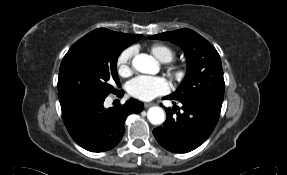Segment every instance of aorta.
I'll return each mask as SVG.
<instances>
[{
  "mask_svg": "<svg viewBox=\"0 0 287 175\" xmlns=\"http://www.w3.org/2000/svg\"><path fill=\"white\" fill-rule=\"evenodd\" d=\"M132 65L140 73L156 74L158 72L157 63L143 54L136 55L132 60ZM147 118L152 124L159 125L165 121V113L161 107L154 106L149 108Z\"/></svg>",
  "mask_w": 287,
  "mask_h": 175,
  "instance_id": "aorta-1",
  "label": "aorta"
}]
</instances>
